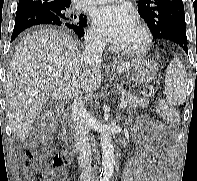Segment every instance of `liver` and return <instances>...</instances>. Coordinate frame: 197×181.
<instances>
[{"label":"liver","instance_id":"1","mask_svg":"<svg viewBox=\"0 0 197 181\" xmlns=\"http://www.w3.org/2000/svg\"><path fill=\"white\" fill-rule=\"evenodd\" d=\"M130 62L116 67L127 71ZM101 64L89 65L72 37L40 28L23 37L6 73V111L12 132L26 139L32 124L49 99L63 100L98 89ZM61 72V77L52 73Z\"/></svg>","mask_w":197,"mask_h":181}]
</instances>
